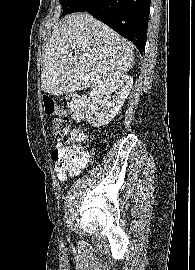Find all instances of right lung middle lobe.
I'll use <instances>...</instances> for the list:
<instances>
[{
	"label": "right lung middle lobe",
	"instance_id": "obj_1",
	"mask_svg": "<svg viewBox=\"0 0 195 270\" xmlns=\"http://www.w3.org/2000/svg\"><path fill=\"white\" fill-rule=\"evenodd\" d=\"M78 0H60L63 8L62 16L72 13V10Z\"/></svg>",
	"mask_w": 195,
	"mask_h": 270
}]
</instances>
